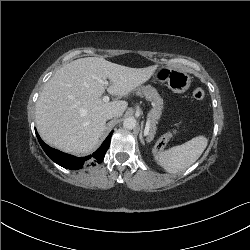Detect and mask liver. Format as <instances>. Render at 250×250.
Listing matches in <instances>:
<instances>
[{"mask_svg": "<svg viewBox=\"0 0 250 250\" xmlns=\"http://www.w3.org/2000/svg\"><path fill=\"white\" fill-rule=\"evenodd\" d=\"M158 66L130 68L99 57L74 60L61 67L45 84L36 102V125L48 144L71 154H87L98 144L106 125V114L117 110L121 116L128 103L104 102L107 89L126 97L148 81ZM109 79L110 84H104Z\"/></svg>", "mask_w": 250, "mask_h": 250, "instance_id": "1", "label": "liver"}]
</instances>
